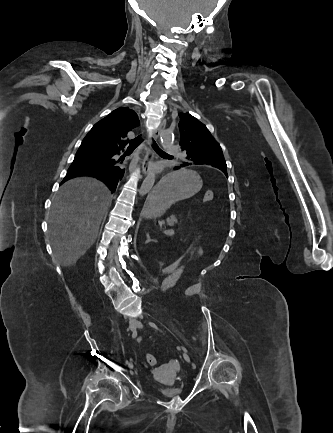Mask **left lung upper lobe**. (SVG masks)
<instances>
[{
	"instance_id": "5c2ea615",
	"label": "left lung upper lobe",
	"mask_w": 333,
	"mask_h": 433,
	"mask_svg": "<svg viewBox=\"0 0 333 433\" xmlns=\"http://www.w3.org/2000/svg\"><path fill=\"white\" fill-rule=\"evenodd\" d=\"M180 146L186 152L185 161L175 167L199 164L216 167L227 176V165L220 145L204 124L189 113H179Z\"/></svg>"
}]
</instances>
